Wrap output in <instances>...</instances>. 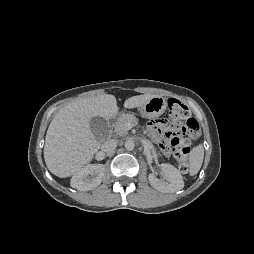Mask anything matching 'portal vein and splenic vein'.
I'll return each mask as SVG.
<instances>
[{
	"mask_svg": "<svg viewBox=\"0 0 254 254\" xmlns=\"http://www.w3.org/2000/svg\"><path fill=\"white\" fill-rule=\"evenodd\" d=\"M126 127H127L128 130L131 129L132 128V124L131 123H127Z\"/></svg>",
	"mask_w": 254,
	"mask_h": 254,
	"instance_id": "18ae733b",
	"label": "portal vein and splenic vein"
}]
</instances>
